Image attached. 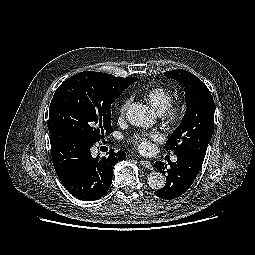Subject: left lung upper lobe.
Segmentation results:
<instances>
[{"mask_svg":"<svg viewBox=\"0 0 255 255\" xmlns=\"http://www.w3.org/2000/svg\"><path fill=\"white\" fill-rule=\"evenodd\" d=\"M184 86L186 112L165 147L176 155L193 152L205 156L214 127V101L207 86L185 70L164 73Z\"/></svg>","mask_w":255,"mask_h":255,"instance_id":"1","label":"left lung upper lobe"}]
</instances>
